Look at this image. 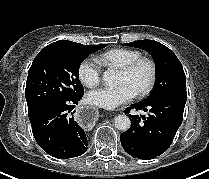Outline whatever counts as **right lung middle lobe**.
Returning <instances> with one entry per match:
<instances>
[{
	"label": "right lung middle lobe",
	"instance_id": "dd1d6c3e",
	"mask_svg": "<svg viewBox=\"0 0 209 179\" xmlns=\"http://www.w3.org/2000/svg\"><path fill=\"white\" fill-rule=\"evenodd\" d=\"M107 44L46 46L35 57L27 77L25 96L29 118L48 105L84 94L79 80L81 62Z\"/></svg>",
	"mask_w": 209,
	"mask_h": 179
}]
</instances>
